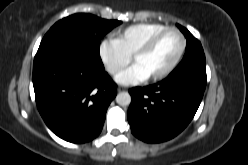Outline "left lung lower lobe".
Listing matches in <instances>:
<instances>
[{"label": "left lung lower lobe", "instance_id": "0a47b994", "mask_svg": "<svg viewBox=\"0 0 248 165\" xmlns=\"http://www.w3.org/2000/svg\"><path fill=\"white\" fill-rule=\"evenodd\" d=\"M206 82V64H197L157 84L130 89L128 122L133 135L148 143L177 136L194 117Z\"/></svg>", "mask_w": 248, "mask_h": 165}]
</instances>
